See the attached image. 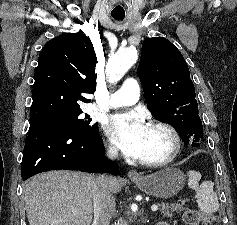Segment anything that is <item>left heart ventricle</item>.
Returning <instances> with one entry per match:
<instances>
[{"instance_id":"obj_1","label":"left heart ventricle","mask_w":237,"mask_h":225,"mask_svg":"<svg viewBox=\"0 0 237 225\" xmlns=\"http://www.w3.org/2000/svg\"><path fill=\"white\" fill-rule=\"evenodd\" d=\"M171 145V138L166 132L147 127L140 159L162 158L169 153Z\"/></svg>"}]
</instances>
